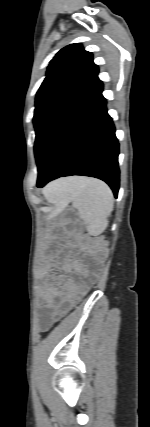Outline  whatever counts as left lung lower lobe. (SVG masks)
Here are the masks:
<instances>
[{"label":"left lung lower lobe","instance_id":"left-lung-lower-lobe-1","mask_svg":"<svg viewBox=\"0 0 150 427\" xmlns=\"http://www.w3.org/2000/svg\"><path fill=\"white\" fill-rule=\"evenodd\" d=\"M97 79L36 130L37 186L62 176L105 181L117 197L119 144Z\"/></svg>","mask_w":150,"mask_h":427}]
</instances>
